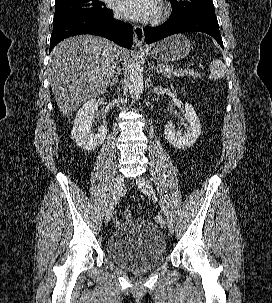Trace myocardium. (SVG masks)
I'll return each mask as SVG.
<instances>
[{
	"instance_id": "obj_1",
	"label": "myocardium",
	"mask_w": 272,
	"mask_h": 303,
	"mask_svg": "<svg viewBox=\"0 0 272 303\" xmlns=\"http://www.w3.org/2000/svg\"><path fill=\"white\" fill-rule=\"evenodd\" d=\"M169 13H170V5L167 2L161 3L158 13V18L163 19L167 17Z\"/></svg>"
}]
</instances>
